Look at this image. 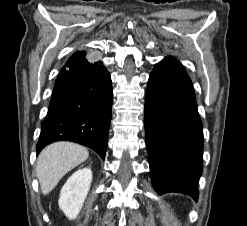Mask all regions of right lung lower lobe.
<instances>
[{
  "instance_id": "1",
  "label": "right lung lower lobe",
  "mask_w": 247,
  "mask_h": 226,
  "mask_svg": "<svg viewBox=\"0 0 247 226\" xmlns=\"http://www.w3.org/2000/svg\"><path fill=\"white\" fill-rule=\"evenodd\" d=\"M110 74L101 61L74 53L54 86L36 149L67 140L95 150L105 159L112 115Z\"/></svg>"
}]
</instances>
